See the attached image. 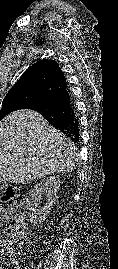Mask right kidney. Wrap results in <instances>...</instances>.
Instances as JSON below:
<instances>
[{"label":"right kidney","instance_id":"ca27d5eb","mask_svg":"<svg viewBox=\"0 0 118 269\" xmlns=\"http://www.w3.org/2000/svg\"><path fill=\"white\" fill-rule=\"evenodd\" d=\"M60 183L58 176H50L30 188L26 204L29 210L30 221L33 224H40L46 219L51 206L55 203ZM42 196L46 198L44 206L40 205Z\"/></svg>","mask_w":118,"mask_h":269}]
</instances>
